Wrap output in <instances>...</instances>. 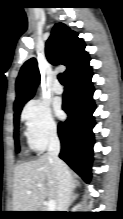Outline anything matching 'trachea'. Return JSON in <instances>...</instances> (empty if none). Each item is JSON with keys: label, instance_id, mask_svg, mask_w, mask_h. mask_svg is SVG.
<instances>
[{"label": "trachea", "instance_id": "1", "mask_svg": "<svg viewBox=\"0 0 123 219\" xmlns=\"http://www.w3.org/2000/svg\"><path fill=\"white\" fill-rule=\"evenodd\" d=\"M58 79H59V81H60V83H61L62 85H65V84H66L65 75H64L63 73H60V74L58 75Z\"/></svg>", "mask_w": 123, "mask_h": 219}]
</instances>
